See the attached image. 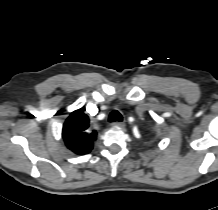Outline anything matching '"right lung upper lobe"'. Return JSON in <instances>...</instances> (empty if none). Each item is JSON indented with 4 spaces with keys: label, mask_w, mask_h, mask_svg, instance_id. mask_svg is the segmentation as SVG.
<instances>
[{
    "label": "right lung upper lobe",
    "mask_w": 218,
    "mask_h": 210,
    "mask_svg": "<svg viewBox=\"0 0 218 210\" xmlns=\"http://www.w3.org/2000/svg\"><path fill=\"white\" fill-rule=\"evenodd\" d=\"M62 137L67 148L78 155H83L92 150L97 133L95 130L90 132L89 117L83 112V109H79L66 119Z\"/></svg>",
    "instance_id": "right-lung-upper-lobe-1"
}]
</instances>
